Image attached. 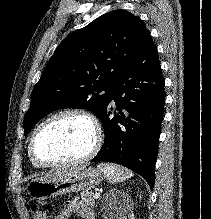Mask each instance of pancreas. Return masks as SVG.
I'll return each instance as SVG.
<instances>
[{"instance_id": "pancreas-1", "label": "pancreas", "mask_w": 211, "mask_h": 219, "mask_svg": "<svg viewBox=\"0 0 211 219\" xmlns=\"http://www.w3.org/2000/svg\"><path fill=\"white\" fill-rule=\"evenodd\" d=\"M81 203H85L91 207L95 205V198L92 192H83L81 193Z\"/></svg>"}]
</instances>
